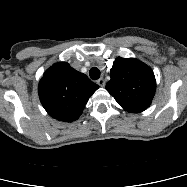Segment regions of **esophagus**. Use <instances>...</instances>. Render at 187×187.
Masks as SVG:
<instances>
[{
	"mask_svg": "<svg viewBox=\"0 0 187 187\" xmlns=\"http://www.w3.org/2000/svg\"><path fill=\"white\" fill-rule=\"evenodd\" d=\"M97 84L100 87H104L105 86V80L103 78H100V79L97 80Z\"/></svg>",
	"mask_w": 187,
	"mask_h": 187,
	"instance_id": "obj_1",
	"label": "esophagus"
}]
</instances>
